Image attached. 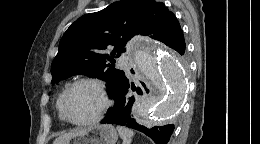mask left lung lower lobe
I'll return each instance as SVG.
<instances>
[{"label":"left lung lower lobe","mask_w":260,"mask_h":144,"mask_svg":"<svg viewBox=\"0 0 260 144\" xmlns=\"http://www.w3.org/2000/svg\"><path fill=\"white\" fill-rule=\"evenodd\" d=\"M166 45L183 55L186 48L183 31L180 30ZM141 84L148 93L149 91L145 87V84L143 82ZM131 90L136 91L139 95L143 94L139 87L136 89L134 83L128 78H125L113 95V99L115 100L114 106L108 109V113L101 121V124H117L126 126L143 132L156 144H167L174 131V125L167 124L147 128L138 123L136 118L137 107L134 105L135 97L131 95Z\"/></svg>","instance_id":"0a47b994"}]
</instances>
